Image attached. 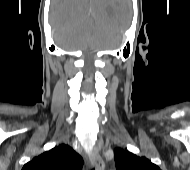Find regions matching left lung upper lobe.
<instances>
[{
  "label": "left lung upper lobe",
  "mask_w": 190,
  "mask_h": 170,
  "mask_svg": "<svg viewBox=\"0 0 190 170\" xmlns=\"http://www.w3.org/2000/svg\"><path fill=\"white\" fill-rule=\"evenodd\" d=\"M116 170H160L146 157H139L128 150L117 148L114 150Z\"/></svg>",
  "instance_id": "left-lung-upper-lobe-1"
}]
</instances>
